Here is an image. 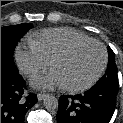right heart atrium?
I'll use <instances>...</instances> for the list:
<instances>
[{
  "mask_svg": "<svg viewBox=\"0 0 123 123\" xmlns=\"http://www.w3.org/2000/svg\"><path fill=\"white\" fill-rule=\"evenodd\" d=\"M16 64L21 73L30 78L45 69L50 61L30 42L20 43L15 50Z\"/></svg>",
  "mask_w": 123,
  "mask_h": 123,
  "instance_id": "right-heart-atrium-1",
  "label": "right heart atrium"
}]
</instances>
